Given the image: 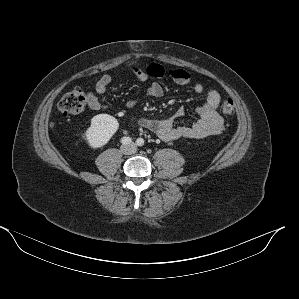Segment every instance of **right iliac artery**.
Returning a JSON list of instances; mask_svg holds the SVG:
<instances>
[{"mask_svg": "<svg viewBox=\"0 0 299 299\" xmlns=\"http://www.w3.org/2000/svg\"><path fill=\"white\" fill-rule=\"evenodd\" d=\"M121 142H122L123 144H129V143L132 142V139H131L130 137H123V138L121 139Z\"/></svg>", "mask_w": 299, "mask_h": 299, "instance_id": "1", "label": "right iliac artery"}]
</instances>
